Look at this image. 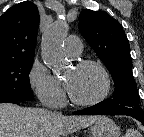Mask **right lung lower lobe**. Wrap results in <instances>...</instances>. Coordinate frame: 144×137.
Returning <instances> with one entry per match:
<instances>
[{
    "label": "right lung lower lobe",
    "mask_w": 144,
    "mask_h": 137,
    "mask_svg": "<svg viewBox=\"0 0 144 137\" xmlns=\"http://www.w3.org/2000/svg\"><path fill=\"white\" fill-rule=\"evenodd\" d=\"M0 103H15V104H17L18 101L13 100V99H0Z\"/></svg>",
    "instance_id": "98d812e1"
}]
</instances>
